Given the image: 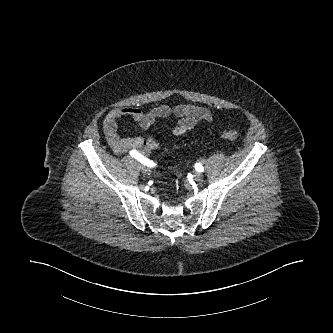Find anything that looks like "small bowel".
<instances>
[{
	"mask_svg": "<svg viewBox=\"0 0 333 333\" xmlns=\"http://www.w3.org/2000/svg\"><path fill=\"white\" fill-rule=\"evenodd\" d=\"M125 117L132 118L144 131H148L159 119L174 117L176 122L170 131L175 135L186 133L200 121L212 120L211 113L206 108L192 104L159 105L146 111L135 107L114 108L104 117L103 131L107 143L119 155L132 150L148 154L160 147V143L153 137H120L117 133L118 121Z\"/></svg>",
	"mask_w": 333,
	"mask_h": 333,
	"instance_id": "c3829d8e",
	"label": "small bowel"
}]
</instances>
